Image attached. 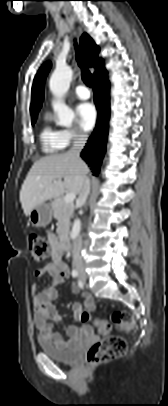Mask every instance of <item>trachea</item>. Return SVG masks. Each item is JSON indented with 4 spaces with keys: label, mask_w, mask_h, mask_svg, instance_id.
<instances>
[{
    "label": "trachea",
    "mask_w": 168,
    "mask_h": 406,
    "mask_svg": "<svg viewBox=\"0 0 168 406\" xmlns=\"http://www.w3.org/2000/svg\"><path fill=\"white\" fill-rule=\"evenodd\" d=\"M75 49H76V60L78 62L79 67L81 68L82 80L87 86L92 87L93 82L92 75L88 70V68L86 67V64L79 50V47L77 46V43H75Z\"/></svg>",
    "instance_id": "3493384b"
}]
</instances>
